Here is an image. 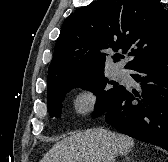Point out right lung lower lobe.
Masks as SVG:
<instances>
[{
	"label": "right lung lower lobe",
	"mask_w": 168,
	"mask_h": 162,
	"mask_svg": "<svg viewBox=\"0 0 168 162\" xmlns=\"http://www.w3.org/2000/svg\"><path fill=\"white\" fill-rule=\"evenodd\" d=\"M131 70L141 91L125 87L104 114L119 132L168 151V52Z\"/></svg>",
	"instance_id": "1"
}]
</instances>
